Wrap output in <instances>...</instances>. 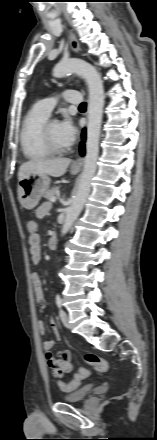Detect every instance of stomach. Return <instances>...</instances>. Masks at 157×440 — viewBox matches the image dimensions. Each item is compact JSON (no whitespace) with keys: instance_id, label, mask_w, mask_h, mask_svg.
Listing matches in <instances>:
<instances>
[{"instance_id":"stomach-1","label":"stomach","mask_w":157,"mask_h":440,"mask_svg":"<svg viewBox=\"0 0 157 440\" xmlns=\"http://www.w3.org/2000/svg\"><path fill=\"white\" fill-rule=\"evenodd\" d=\"M78 169H71L72 174H77ZM51 179L46 174H31L19 180L17 195L21 206L25 209L36 207L41 197L48 192Z\"/></svg>"}]
</instances>
